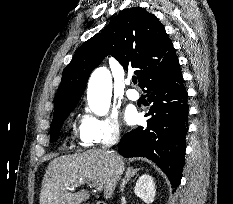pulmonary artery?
Instances as JSON below:
<instances>
[{"instance_id": "obj_1", "label": "pulmonary artery", "mask_w": 233, "mask_h": 204, "mask_svg": "<svg viewBox=\"0 0 233 204\" xmlns=\"http://www.w3.org/2000/svg\"><path fill=\"white\" fill-rule=\"evenodd\" d=\"M130 82H131V81L128 80L127 83L130 84ZM126 96L128 97V99L133 100V101L138 100L139 97H140L138 91L135 90V89H132V88H130V89H128V90L126 91Z\"/></svg>"}]
</instances>
